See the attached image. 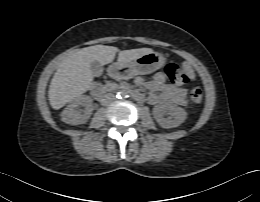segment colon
<instances>
[{"label":"colon","instance_id":"colon-1","mask_svg":"<svg viewBox=\"0 0 260 202\" xmlns=\"http://www.w3.org/2000/svg\"><path fill=\"white\" fill-rule=\"evenodd\" d=\"M165 74L168 79L176 84V85H183L189 81V77L185 72H183L178 65L170 63L165 68ZM191 101L195 104H198L203 99V92L199 88H194L190 92Z\"/></svg>","mask_w":260,"mask_h":202}]
</instances>
